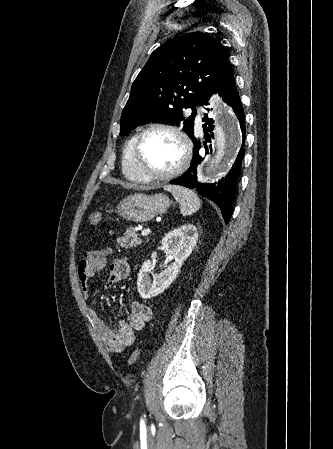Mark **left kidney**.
<instances>
[{"instance_id": "left-kidney-1", "label": "left kidney", "mask_w": 333, "mask_h": 449, "mask_svg": "<svg viewBox=\"0 0 333 449\" xmlns=\"http://www.w3.org/2000/svg\"><path fill=\"white\" fill-rule=\"evenodd\" d=\"M197 240L198 231L192 224L180 226L165 235L162 247L168 256L174 258V262L160 273H155V264L152 261L144 262L137 278V287L142 298L157 296L172 284L183 262L196 247Z\"/></svg>"}]
</instances>
